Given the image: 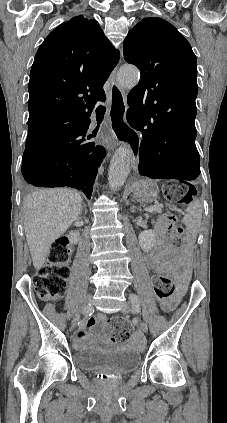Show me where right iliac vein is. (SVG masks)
<instances>
[{
	"label": "right iliac vein",
	"instance_id": "1",
	"mask_svg": "<svg viewBox=\"0 0 227 423\" xmlns=\"http://www.w3.org/2000/svg\"><path fill=\"white\" fill-rule=\"evenodd\" d=\"M91 301H92V297L91 296H87L85 298L84 302H83V305H82L81 309L85 308L89 303H91ZM79 319H80V314L77 313L74 316V319H73V327H75L77 325Z\"/></svg>",
	"mask_w": 227,
	"mask_h": 423
}]
</instances>
